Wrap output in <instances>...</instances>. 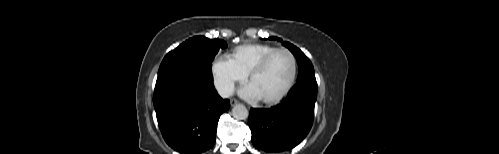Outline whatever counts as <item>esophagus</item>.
<instances>
[{
	"label": "esophagus",
	"instance_id": "1",
	"mask_svg": "<svg viewBox=\"0 0 499 154\" xmlns=\"http://www.w3.org/2000/svg\"><path fill=\"white\" fill-rule=\"evenodd\" d=\"M239 102L236 100V99H231L230 100V104L231 106H235L236 104H238Z\"/></svg>",
	"mask_w": 499,
	"mask_h": 154
}]
</instances>
